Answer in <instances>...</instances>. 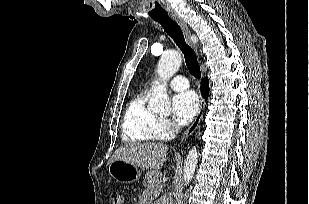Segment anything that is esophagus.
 <instances>
[{
  "label": "esophagus",
  "instance_id": "esophagus-1",
  "mask_svg": "<svg viewBox=\"0 0 309 204\" xmlns=\"http://www.w3.org/2000/svg\"><path fill=\"white\" fill-rule=\"evenodd\" d=\"M169 15L182 28V30L184 31V33L186 35L188 42L192 45L194 50L198 53V50H197L198 38L193 37L191 35V31L189 30L187 24L184 22V20L177 13L172 12ZM204 110H205V101H204L203 98H201V103H200L198 113H197L194 121L192 122V124L184 132V134L182 136V141L186 140L189 136H191L195 132V130L197 129V127L199 126V124L202 120Z\"/></svg>",
  "mask_w": 309,
  "mask_h": 204
}]
</instances>
